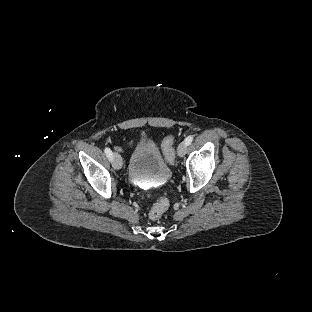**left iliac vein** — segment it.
<instances>
[{"label":"left iliac vein","instance_id":"4c4485c4","mask_svg":"<svg viewBox=\"0 0 312 312\" xmlns=\"http://www.w3.org/2000/svg\"><path fill=\"white\" fill-rule=\"evenodd\" d=\"M186 149H187V144H186V142H181V143L179 144L178 150H177L178 156H179V157H183V156L185 155V153H186Z\"/></svg>","mask_w":312,"mask_h":312}]
</instances>
